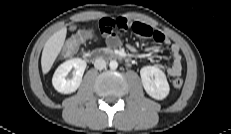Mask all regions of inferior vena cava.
<instances>
[{"label": "inferior vena cava", "mask_w": 231, "mask_h": 134, "mask_svg": "<svg viewBox=\"0 0 231 134\" xmlns=\"http://www.w3.org/2000/svg\"><path fill=\"white\" fill-rule=\"evenodd\" d=\"M94 67L99 70L104 69L106 67V61L102 57H99L95 59Z\"/></svg>", "instance_id": "1"}]
</instances>
